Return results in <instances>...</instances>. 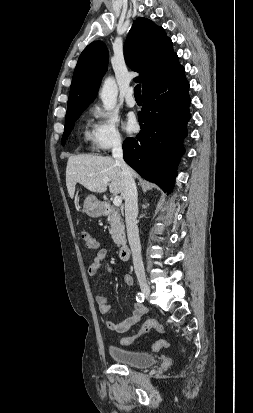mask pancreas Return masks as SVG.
<instances>
[{"label":"pancreas","mask_w":253,"mask_h":413,"mask_svg":"<svg viewBox=\"0 0 253 413\" xmlns=\"http://www.w3.org/2000/svg\"><path fill=\"white\" fill-rule=\"evenodd\" d=\"M108 222L110 223L111 229L110 234L113 241L118 245L125 243V228L123 220L120 217V214L115 209L111 212L108 217Z\"/></svg>","instance_id":"1"}]
</instances>
